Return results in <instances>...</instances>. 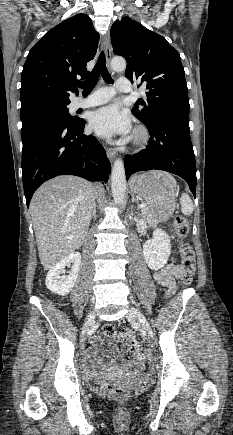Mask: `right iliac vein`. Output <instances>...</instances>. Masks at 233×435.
Segmentation results:
<instances>
[{
  "label": "right iliac vein",
  "instance_id": "right-iliac-vein-1",
  "mask_svg": "<svg viewBox=\"0 0 233 435\" xmlns=\"http://www.w3.org/2000/svg\"><path fill=\"white\" fill-rule=\"evenodd\" d=\"M94 322H95V314L93 311H91L88 314L86 321H85V324H84V327L82 329L83 336L88 332L89 328L93 325Z\"/></svg>",
  "mask_w": 233,
  "mask_h": 435
}]
</instances>
